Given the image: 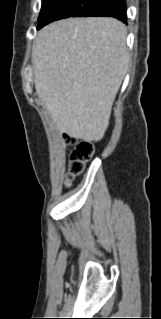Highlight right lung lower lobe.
Listing matches in <instances>:
<instances>
[{
  "label": "right lung lower lobe",
  "mask_w": 161,
  "mask_h": 319,
  "mask_svg": "<svg viewBox=\"0 0 161 319\" xmlns=\"http://www.w3.org/2000/svg\"><path fill=\"white\" fill-rule=\"evenodd\" d=\"M126 0H98L82 17H114L126 22Z\"/></svg>",
  "instance_id": "1"
}]
</instances>
